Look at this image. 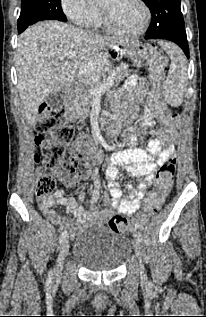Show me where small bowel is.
I'll return each mask as SVG.
<instances>
[{
	"label": "small bowel",
	"mask_w": 206,
	"mask_h": 317,
	"mask_svg": "<svg viewBox=\"0 0 206 317\" xmlns=\"http://www.w3.org/2000/svg\"><path fill=\"white\" fill-rule=\"evenodd\" d=\"M145 99L146 105H144ZM114 105L119 119L122 118L121 110L126 109V124L136 120L141 110L142 117L141 131L137 134L125 135L124 142L129 147L116 152L106 170L110 197L102 198L100 180L93 174L94 188L88 199L87 210L84 208L87 203L84 191L80 192L77 199L66 197L62 190H58L53 195L38 200L39 208L45 217L61 229L69 230L71 236L78 235L86 224H104L115 212L128 215L136 213L153 180L154 172L174 154L178 134L174 128L164 124L166 114L170 110L163 101L159 88L151 86L145 78L131 75L125 82L124 90L116 97ZM156 119L161 124L160 128L156 127ZM146 136L152 137L146 149L132 147L138 138ZM74 150L75 144L71 152L73 153ZM120 167L135 177H144V181L139 182L136 187L132 183L126 184L128 190L126 197L115 181ZM75 182H62V184L71 188ZM101 200L107 208L99 209L98 203ZM57 207H64L68 213H72L75 223L70 218L62 216Z\"/></svg>",
	"instance_id": "small-bowel-1"
}]
</instances>
